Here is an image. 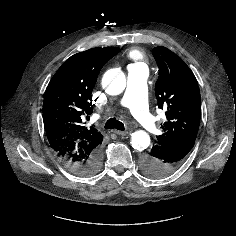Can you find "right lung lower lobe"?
I'll list each match as a JSON object with an SVG mask.
<instances>
[{"mask_svg":"<svg viewBox=\"0 0 236 236\" xmlns=\"http://www.w3.org/2000/svg\"><path fill=\"white\" fill-rule=\"evenodd\" d=\"M103 155L101 149L95 150L88 159L80 162H65V167L71 172L81 176H89L98 172L102 166Z\"/></svg>","mask_w":236,"mask_h":236,"instance_id":"right-lung-lower-lobe-1","label":"right lung lower lobe"}]
</instances>
